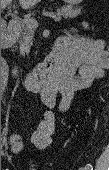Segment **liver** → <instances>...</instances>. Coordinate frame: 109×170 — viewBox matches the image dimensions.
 I'll use <instances>...</instances> for the list:
<instances>
[{
  "mask_svg": "<svg viewBox=\"0 0 109 170\" xmlns=\"http://www.w3.org/2000/svg\"><path fill=\"white\" fill-rule=\"evenodd\" d=\"M19 1L23 8H29L33 5H35L36 3L40 2L41 0H19ZM2 2H4V4L8 3V1H6V0H4Z\"/></svg>",
  "mask_w": 109,
  "mask_h": 170,
  "instance_id": "obj_1",
  "label": "liver"
}]
</instances>
